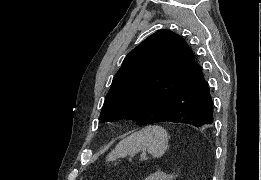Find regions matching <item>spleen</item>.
I'll return each instance as SVG.
<instances>
[{"instance_id":"spleen-1","label":"spleen","mask_w":261,"mask_h":180,"mask_svg":"<svg viewBox=\"0 0 261 180\" xmlns=\"http://www.w3.org/2000/svg\"><path fill=\"white\" fill-rule=\"evenodd\" d=\"M168 148V136L161 126H146L140 132H134L117 144L115 150L109 154V160L135 156L142 150H147L153 158H161Z\"/></svg>"}]
</instances>
